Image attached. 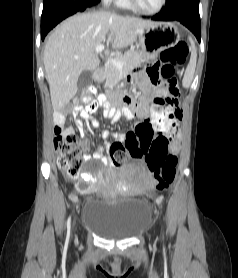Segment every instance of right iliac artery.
<instances>
[{
  "label": "right iliac artery",
  "instance_id": "right-iliac-artery-1",
  "mask_svg": "<svg viewBox=\"0 0 238 278\" xmlns=\"http://www.w3.org/2000/svg\"><path fill=\"white\" fill-rule=\"evenodd\" d=\"M70 223H71V217H69L68 220H67V231H68V235H69V232H70Z\"/></svg>",
  "mask_w": 238,
  "mask_h": 278
}]
</instances>
